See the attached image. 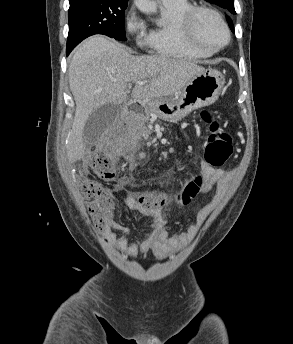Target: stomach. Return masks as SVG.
Listing matches in <instances>:
<instances>
[{"instance_id": "0dacf381", "label": "stomach", "mask_w": 293, "mask_h": 344, "mask_svg": "<svg viewBox=\"0 0 293 344\" xmlns=\"http://www.w3.org/2000/svg\"><path fill=\"white\" fill-rule=\"evenodd\" d=\"M225 84L224 76L214 68L204 69L178 93L171 97L140 101L147 114L167 122H177L200 107L214 103Z\"/></svg>"}]
</instances>
